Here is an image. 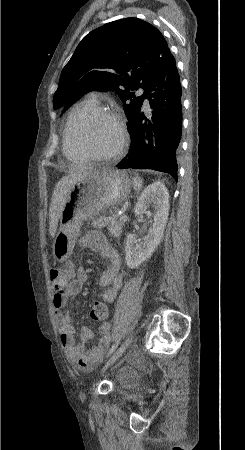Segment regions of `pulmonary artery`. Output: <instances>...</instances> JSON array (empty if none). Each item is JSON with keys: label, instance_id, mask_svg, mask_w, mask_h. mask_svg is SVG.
<instances>
[{"label": "pulmonary artery", "instance_id": "obj_1", "mask_svg": "<svg viewBox=\"0 0 245 450\" xmlns=\"http://www.w3.org/2000/svg\"><path fill=\"white\" fill-rule=\"evenodd\" d=\"M89 97H90L91 99L97 101V99H98V93H97V92H92V93H90ZM144 104H145L146 106H148V100H145V101H144Z\"/></svg>", "mask_w": 245, "mask_h": 450}]
</instances>
